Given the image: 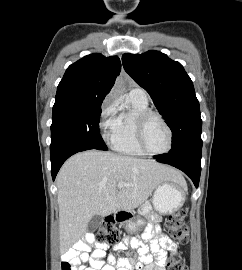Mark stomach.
Here are the masks:
<instances>
[{
  "instance_id": "0dacf381",
  "label": "stomach",
  "mask_w": 242,
  "mask_h": 270,
  "mask_svg": "<svg viewBox=\"0 0 242 270\" xmlns=\"http://www.w3.org/2000/svg\"><path fill=\"white\" fill-rule=\"evenodd\" d=\"M187 191L186 185L176 182H163L155 190L153 195V206L155 210L161 214H172L180 209L185 201ZM129 231H136L137 227L143 224V220L139 219L133 222L132 219L124 221Z\"/></svg>"
}]
</instances>
